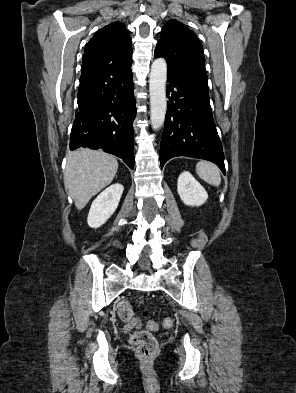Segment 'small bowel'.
<instances>
[{
  "label": "small bowel",
  "instance_id": "small-bowel-1",
  "mask_svg": "<svg viewBox=\"0 0 296 393\" xmlns=\"http://www.w3.org/2000/svg\"><path fill=\"white\" fill-rule=\"evenodd\" d=\"M138 326V321L135 317H132L130 320L125 321L124 329L125 330H132Z\"/></svg>",
  "mask_w": 296,
  "mask_h": 393
}]
</instances>
